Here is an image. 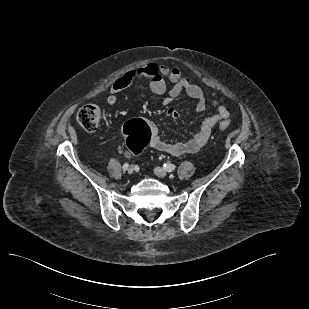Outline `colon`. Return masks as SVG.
I'll return each instance as SVG.
<instances>
[{"instance_id":"5ec220e1","label":"colon","mask_w":309,"mask_h":309,"mask_svg":"<svg viewBox=\"0 0 309 309\" xmlns=\"http://www.w3.org/2000/svg\"><path fill=\"white\" fill-rule=\"evenodd\" d=\"M103 112L97 105H85L80 108L77 114V120L82 128L88 132L97 130L101 124ZM230 122L223 120L219 123L220 130H226ZM123 134L126 138L129 151L137 155L150 142L151 132L147 123L142 119H133L126 122L123 126Z\"/></svg>"}]
</instances>
